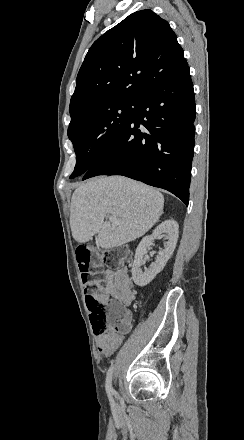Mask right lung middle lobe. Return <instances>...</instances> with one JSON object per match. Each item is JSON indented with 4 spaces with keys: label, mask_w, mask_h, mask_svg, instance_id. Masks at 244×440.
<instances>
[{
    "label": "right lung middle lobe",
    "mask_w": 244,
    "mask_h": 440,
    "mask_svg": "<svg viewBox=\"0 0 244 440\" xmlns=\"http://www.w3.org/2000/svg\"><path fill=\"white\" fill-rule=\"evenodd\" d=\"M139 98H107L70 110L68 136L76 153L70 178L85 174L124 130L136 111Z\"/></svg>",
    "instance_id": "1"
}]
</instances>
